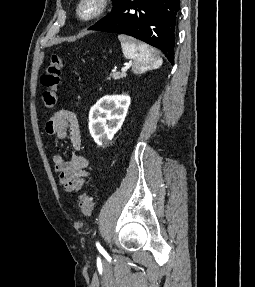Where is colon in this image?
Wrapping results in <instances>:
<instances>
[{
    "label": "colon",
    "instance_id": "5ec220e1",
    "mask_svg": "<svg viewBox=\"0 0 255 287\" xmlns=\"http://www.w3.org/2000/svg\"><path fill=\"white\" fill-rule=\"evenodd\" d=\"M62 65L63 61L61 56L53 54L41 77V83L46 88L43 92L42 99L47 109H52L56 105ZM79 206L84 216H91L93 212L92 197L86 192H82L79 195Z\"/></svg>",
    "mask_w": 255,
    "mask_h": 287
}]
</instances>
